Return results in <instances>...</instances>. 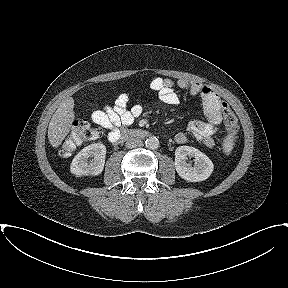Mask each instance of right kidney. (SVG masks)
Masks as SVG:
<instances>
[{"label": "right kidney", "instance_id": "ca27d5eb", "mask_svg": "<svg viewBox=\"0 0 288 288\" xmlns=\"http://www.w3.org/2000/svg\"><path fill=\"white\" fill-rule=\"evenodd\" d=\"M106 147L101 143H94L83 148L72 160L71 173L77 177L83 175H99L104 168Z\"/></svg>", "mask_w": 288, "mask_h": 288}]
</instances>
